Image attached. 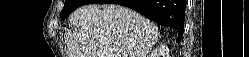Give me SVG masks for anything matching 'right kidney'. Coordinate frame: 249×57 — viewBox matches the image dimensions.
Masks as SVG:
<instances>
[{
  "mask_svg": "<svg viewBox=\"0 0 249 57\" xmlns=\"http://www.w3.org/2000/svg\"><path fill=\"white\" fill-rule=\"evenodd\" d=\"M163 55V53L161 51H157L154 53L155 57H161Z\"/></svg>",
  "mask_w": 249,
  "mask_h": 57,
  "instance_id": "obj_1",
  "label": "right kidney"
}]
</instances>
